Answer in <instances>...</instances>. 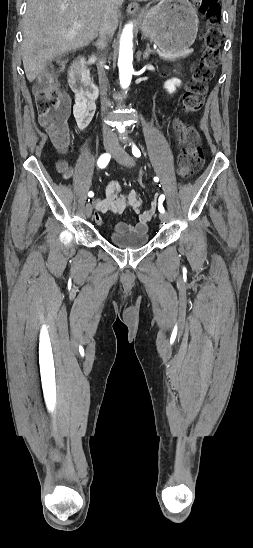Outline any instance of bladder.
<instances>
[{
	"label": "bladder",
	"mask_w": 253,
	"mask_h": 548,
	"mask_svg": "<svg viewBox=\"0 0 253 548\" xmlns=\"http://www.w3.org/2000/svg\"><path fill=\"white\" fill-rule=\"evenodd\" d=\"M112 245L123 249H136L145 246L149 241L146 232H114L109 235Z\"/></svg>",
	"instance_id": "obj_1"
}]
</instances>
